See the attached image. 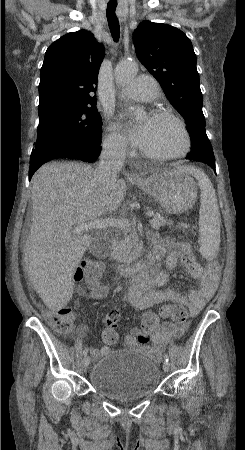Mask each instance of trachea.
I'll list each match as a JSON object with an SVG mask.
<instances>
[{"instance_id": "1", "label": "trachea", "mask_w": 245, "mask_h": 450, "mask_svg": "<svg viewBox=\"0 0 245 450\" xmlns=\"http://www.w3.org/2000/svg\"><path fill=\"white\" fill-rule=\"evenodd\" d=\"M116 7H117L116 1H109L107 4L106 15H107V20H108L111 35H112L114 41L118 42L119 37H120V26H119L118 19L116 18V15H115Z\"/></svg>"}]
</instances>
